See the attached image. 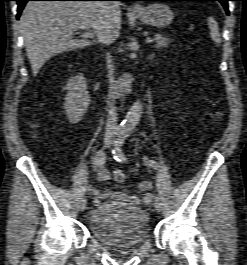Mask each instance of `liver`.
Wrapping results in <instances>:
<instances>
[{"label": "liver", "mask_w": 247, "mask_h": 265, "mask_svg": "<svg viewBox=\"0 0 247 265\" xmlns=\"http://www.w3.org/2000/svg\"><path fill=\"white\" fill-rule=\"evenodd\" d=\"M33 75L54 55L91 44L74 39L77 30L92 28L101 43H113L121 29L120 3L91 1H30L20 17Z\"/></svg>", "instance_id": "6515ba94"}]
</instances>
